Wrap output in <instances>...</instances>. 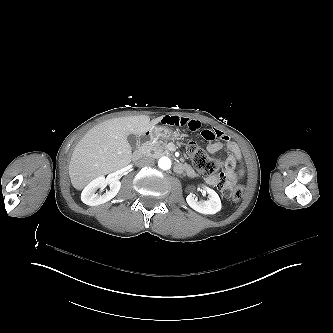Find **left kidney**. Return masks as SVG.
<instances>
[{
	"label": "left kidney",
	"mask_w": 333,
	"mask_h": 333,
	"mask_svg": "<svg viewBox=\"0 0 333 333\" xmlns=\"http://www.w3.org/2000/svg\"><path fill=\"white\" fill-rule=\"evenodd\" d=\"M205 190L209 194V200L207 201H198L193 197L192 194H189L186 198L188 205L195 211L202 214H215L221 210V200L218 194L211 188L205 187Z\"/></svg>",
	"instance_id": "left-kidney-1"
}]
</instances>
